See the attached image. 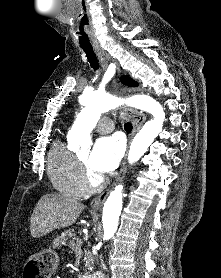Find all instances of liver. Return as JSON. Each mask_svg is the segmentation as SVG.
Segmentation results:
<instances>
[{
	"mask_svg": "<svg viewBox=\"0 0 221 278\" xmlns=\"http://www.w3.org/2000/svg\"><path fill=\"white\" fill-rule=\"evenodd\" d=\"M84 208L85 205L81 202L64 195H43L31 215V236L39 238L55 229L72 225Z\"/></svg>",
	"mask_w": 221,
	"mask_h": 278,
	"instance_id": "liver-1",
	"label": "liver"
}]
</instances>
